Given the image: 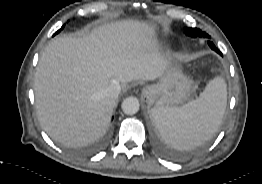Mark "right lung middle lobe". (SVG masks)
<instances>
[{
    "label": "right lung middle lobe",
    "instance_id": "dd1d6c3e",
    "mask_svg": "<svg viewBox=\"0 0 262 184\" xmlns=\"http://www.w3.org/2000/svg\"><path fill=\"white\" fill-rule=\"evenodd\" d=\"M61 29H63V27H62ZM61 29H60V30H61ZM60 30H58L56 33L60 32Z\"/></svg>",
    "mask_w": 262,
    "mask_h": 184
}]
</instances>
